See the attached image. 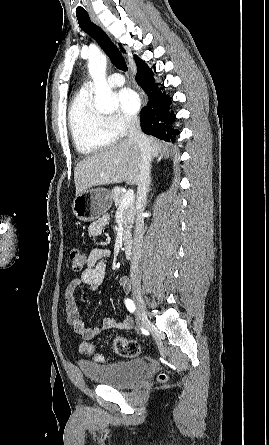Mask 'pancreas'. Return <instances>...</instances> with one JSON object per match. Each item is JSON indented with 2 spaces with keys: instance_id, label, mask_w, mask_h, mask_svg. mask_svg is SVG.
<instances>
[{
  "instance_id": "obj_1",
  "label": "pancreas",
  "mask_w": 269,
  "mask_h": 445,
  "mask_svg": "<svg viewBox=\"0 0 269 445\" xmlns=\"http://www.w3.org/2000/svg\"><path fill=\"white\" fill-rule=\"evenodd\" d=\"M125 193L121 187H115L112 189L111 196L115 202V206L121 209V202ZM136 208L135 202L133 201L128 207L123 210V241L124 243H129L131 241V229L135 221Z\"/></svg>"
}]
</instances>
